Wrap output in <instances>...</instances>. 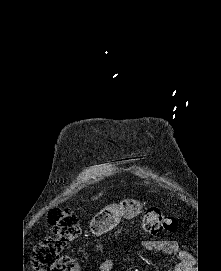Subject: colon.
Listing matches in <instances>:
<instances>
[{"mask_svg": "<svg viewBox=\"0 0 221 271\" xmlns=\"http://www.w3.org/2000/svg\"><path fill=\"white\" fill-rule=\"evenodd\" d=\"M50 233L40 240L33 249L32 260L36 271H78L72 256L62 254L68 243L75 241L81 234L78 217L68 207L52 208L47 212ZM179 226V220L152 207L141 218L145 233L159 234L172 232Z\"/></svg>", "mask_w": 221, "mask_h": 271, "instance_id": "colon-1", "label": "colon"}]
</instances>
